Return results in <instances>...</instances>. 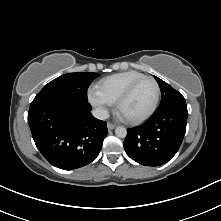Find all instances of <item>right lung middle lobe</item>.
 Segmentation results:
<instances>
[{
	"mask_svg": "<svg viewBox=\"0 0 221 221\" xmlns=\"http://www.w3.org/2000/svg\"><path fill=\"white\" fill-rule=\"evenodd\" d=\"M98 73L77 72L64 74L48 84L36 95L31 105L50 98L75 97L87 100V89Z\"/></svg>",
	"mask_w": 221,
	"mask_h": 221,
	"instance_id": "obj_1",
	"label": "right lung middle lobe"
}]
</instances>
